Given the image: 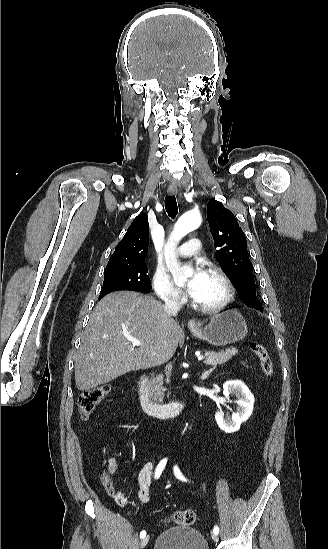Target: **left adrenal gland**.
Segmentation results:
<instances>
[{"label": "left adrenal gland", "mask_w": 328, "mask_h": 549, "mask_svg": "<svg viewBox=\"0 0 328 549\" xmlns=\"http://www.w3.org/2000/svg\"><path fill=\"white\" fill-rule=\"evenodd\" d=\"M210 373H211V369H210V371H205L203 377H209Z\"/></svg>", "instance_id": "a2214340"}]
</instances>
